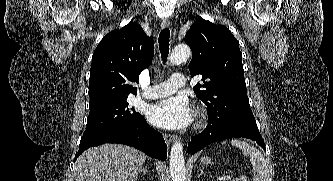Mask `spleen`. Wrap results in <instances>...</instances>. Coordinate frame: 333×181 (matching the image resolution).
<instances>
[{
  "mask_svg": "<svg viewBox=\"0 0 333 181\" xmlns=\"http://www.w3.org/2000/svg\"><path fill=\"white\" fill-rule=\"evenodd\" d=\"M224 143L226 142H222V144ZM231 144L241 149L244 156L250 157L253 168V181H268L270 165L263 154L256 147L241 140L233 139L231 140Z\"/></svg>",
  "mask_w": 333,
  "mask_h": 181,
  "instance_id": "1",
  "label": "spleen"
}]
</instances>
